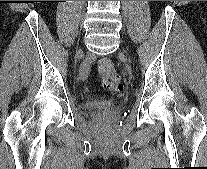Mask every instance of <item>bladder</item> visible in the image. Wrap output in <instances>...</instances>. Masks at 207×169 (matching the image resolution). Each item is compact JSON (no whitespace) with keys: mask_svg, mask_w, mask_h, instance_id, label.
I'll use <instances>...</instances> for the list:
<instances>
[{"mask_svg":"<svg viewBox=\"0 0 207 169\" xmlns=\"http://www.w3.org/2000/svg\"><path fill=\"white\" fill-rule=\"evenodd\" d=\"M86 108L90 110L94 109H108L116 106V102L113 100H90L86 102Z\"/></svg>","mask_w":207,"mask_h":169,"instance_id":"obj_1","label":"bladder"}]
</instances>
